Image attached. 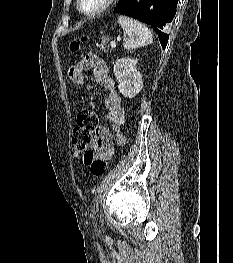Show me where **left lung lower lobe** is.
<instances>
[{"label": "left lung lower lobe", "instance_id": "1", "mask_svg": "<svg viewBox=\"0 0 233 263\" xmlns=\"http://www.w3.org/2000/svg\"><path fill=\"white\" fill-rule=\"evenodd\" d=\"M177 3L178 0H119L114 12L150 25L165 48L169 38L165 31L176 14Z\"/></svg>", "mask_w": 233, "mask_h": 263}]
</instances>
